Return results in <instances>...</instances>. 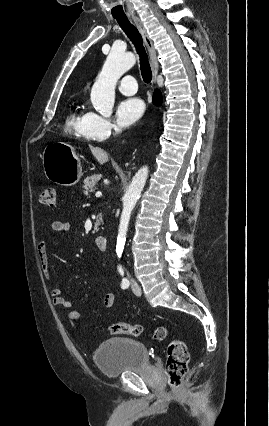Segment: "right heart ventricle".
Here are the masks:
<instances>
[{
    "label": "right heart ventricle",
    "instance_id": "1",
    "mask_svg": "<svg viewBox=\"0 0 269 426\" xmlns=\"http://www.w3.org/2000/svg\"><path fill=\"white\" fill-rule=\"evenodd\" d=\"M89 117L90 112L85 111L83 108H78L70 114L67 120V126L76 133L90 138L88 135Z\"/></svg>",
    "mask_w": 269,
    "mask_h": 426
}]
</instances>
